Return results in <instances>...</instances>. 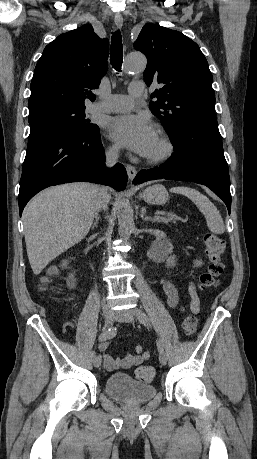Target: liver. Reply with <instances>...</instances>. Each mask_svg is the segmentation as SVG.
I'll list each match as a JSON object with an SVG mask.
<instances>
[{
    "label": "liver",
    "instance_id": "1",
    "mask_svg": "<svg viewBox=\"0 0 257 459\" xmlns=\"http://www.w3.org/2000/svg\"><path fill=\"white\" fill-rule=\"evenodd\" d=\"M98 191L99 187L90 183L59 185L39 193L26 206L24 235L35 275L88 234L97 211Z\"/></svg>",
    "mask_w": 257,
    "mask_h": 459
}]
</instances>
